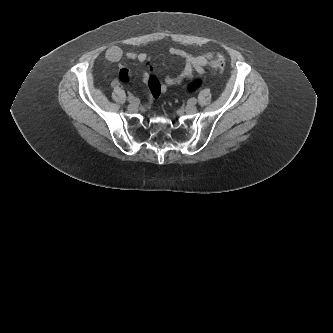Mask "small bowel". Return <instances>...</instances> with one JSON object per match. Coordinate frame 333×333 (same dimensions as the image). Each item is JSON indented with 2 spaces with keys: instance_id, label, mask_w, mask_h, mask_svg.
Wrapping results in <instances>:
<instances>
[{
  "instance_id": "obj_1",
  "label": "small bowel",
  "mask_w": 333,
  "mask_h": 333,
  "mask_svg": "<svg viewBox=\"0 0 333 333\" xmlns=\"http://www.w3.org/2000/svg\"><path fill=\"white\" fill-rule=\"evenodd\" d=\"M170 54L182 58L184 60V68L178 76H167L163 81H159L153 74V67L150 65L148 56L145 53L132 51L124 53L119 46H110L105 51V58L109 62H119L123 57H126L127 59L136 60L144 65L142 80L148 86V102L151 103L160 94L166 93L169 87L182 84L185 80L191 79L195 73L204 74L205 66L213 57V53L211 52L193 55L177 47H172ZM118 74L119 77L112 81L111 86L113 88H118L122 81L126 88L130 90L136 88L137 83L134 79L129 77V71L125 66L119 67Z\"/></svg>"
}]
</instances>
